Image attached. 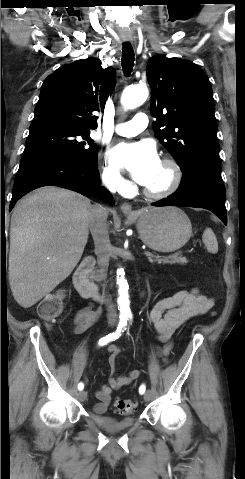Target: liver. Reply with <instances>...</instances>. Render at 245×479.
<instances>
[{
  "instance_id": "1",
  "label": "liver",
  "mask_w": 245,
  "mask_h": 479,
  "mask_svg": "<svg viewBox=\"0 0 245 479\" xmlns=\"http://www.w3.org/2000/svg\"><path fill=\"white\" fill-rule=\"evenodd\" d=\"M90 200L47 186L21 199L10 225L9 280L13 296L30 308L64 281L86 246Z\"/></svg>"
}]
</instances>
